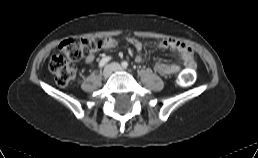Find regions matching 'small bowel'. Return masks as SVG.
I'll return each instance as SVG.
<instances>
[{
	"instance_id": "1",
	"label": "small bowel",
	"mask_w": 258,
	"mask_h": 158,
	"mask_svg": "<svg viewBox=\"0 0 258 158\" xmlns=\"http://www.w3.org/2000/svg\"><path fill=\"white\" fill-rule=\"evenodd\" d=\"M127 42L134 48L136 51L135 55V60L137 62H142L144 60V55L142 54L143 50V44L135 39V38H128ZM117 46V41L116 39L112 37H108L104 40V47L103 49L105 50H110L113 49ZM156 47L158 49H165V48H171L175 51H177L180 54V59L182 64L189 68L192 69L195 64V56L194 53L187 44H185L182 41H179L177 39H165V40H160L156 43ZM96 61L95 55L94 54H89L86 56V62L89 65H94ZM182 66L179 64H169V63H157L154 65V70L161 76H169L172 74H175L181 70Z\"/></svg>"
}]
</instances>
